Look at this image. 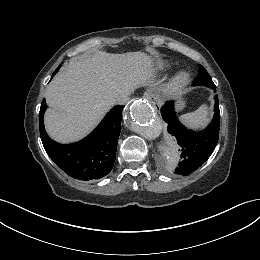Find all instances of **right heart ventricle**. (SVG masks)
I'll return each mask as SVG.
<instances>
[{"label": "right heart ventricle", "mask_w": 260, "mask_h": 260, "mask_svg": "<svg viewBox=\"0 0 260 260\" xmlns=\"http://www.w3.org/2000/svg\"><path fill=\"white\" fill-rule=\"evenodd\" d=\"M159 67L161 69H167V68L171 67V63L167 60H162L159 62Z\"/></svg>", "instance_id": "1"}]
</instances>
